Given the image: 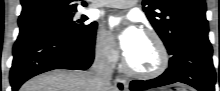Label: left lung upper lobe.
Masks as SVG:
<instances>
[{
	"mask_svg": "<svg viewBox=\"0 0 220 91\" xmlns=\"http://www.w3.org/2000/svg\"><path fill=\"white\" fill-rule=\"evenodd\" d=\"M150 23L168 53L188 42H209L204 0H144Z\"/></svg>",
	"mask_w": 220,
	"mask_h": 91,
	"instance_id": "obj_1",
	"label": "left lung upper lobe"
}]
</instances>
